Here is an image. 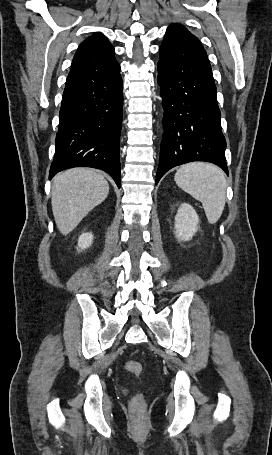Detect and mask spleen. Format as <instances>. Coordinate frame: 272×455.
<instances>
[{"label":"spleen","mask_w":272,"mask_h":455,"mask_svg":"<svg viewBox=\"0 0 272 455\" xmlns=\"http://www.w3.org/2000/svg\"><path fill=\"white\" fill-rule=\"evenodd\" d=\"M174 180L202 203L209 223L219 220L225 207L227 186L225 174L219 167L203 162L188 163L177 170Z\"/></svg>","instance_id":"1"}]
</instances>
